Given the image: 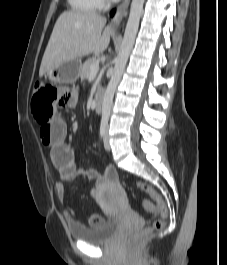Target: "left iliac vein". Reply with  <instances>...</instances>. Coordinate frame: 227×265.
<instances>
[{"label": "left iliac vein", "mask_w": 227, "mask_h": 265, "mask_svg": "<svg viewBox=\"0 0 227 265\" xmlns=\"http://www.w3.org/2000/svg\"><path fill=\"white\" fill-rule=\"evenodd\" d=\"M103 142H104V148L109 151L111 149V147H110V144H109L108 127L106 129V133H105Z\"/></svg>", "instance_id": "left-iliac-vein-1"}]
</instances>
